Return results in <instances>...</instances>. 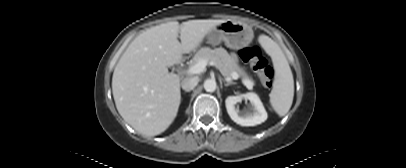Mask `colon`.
<instances>
[{
  "label": "colon",
  "instance_id": "1",
  "mask_svg": "<svg viewBox=\"0 0 406 168\" xmlns=\"http://www.w3.org/2000/svg\"><path fill=\"white\" fill-rule=\"evenodd\" d=\"M239 55L243 61L251 64L264 86L269 87L272 85L274 70L268 64L258 46L244 47L239 51Z\"/></svg>",
  "mask_w": 406,
  "mask_h": 168
}]
</instances>
